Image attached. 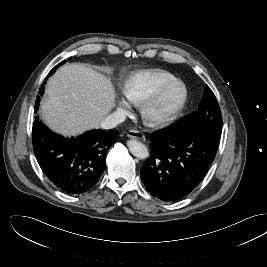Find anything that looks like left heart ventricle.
Returning a JSON list of instances; mask_svg holds the SVG:
<instances>
[{
	"mask_svg": "<svg viewBox=\"0 0 267 267\" xmlns=\"http://www.w3.org/2000/svg\"><path fill=\"white\" fill-rule=\"evenodd\" d=\"M175 97H176V94H174V95L170 98V100H173Z\"/></svg>",
	"mask_w": 267,
	"mask_h": 267,
	"instance_id": "1",
	"label": "left heart ventricle"
}]
</instances>
